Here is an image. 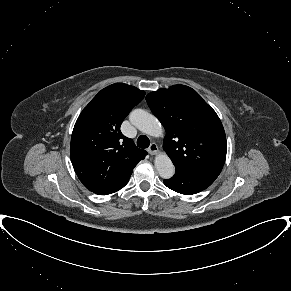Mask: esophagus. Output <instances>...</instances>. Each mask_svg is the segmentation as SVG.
<instances>
[{"instance_id":"1","label":"esophagus","mask_w":291,"mask_h":291,"mask_svg":"<svg viewBox=\"0 0 291 291\" xmlns=\"http://www.w3.org/2000/svg\"><path fill=\"white\" fill-rule=\"evenodd\" d=\"M148 153L150 155H155L158 153V146L156 143H151V145L148 148Z\"/></svg>"}]
</instances>
